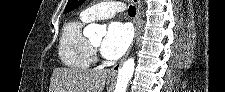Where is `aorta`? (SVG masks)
Returning a JSON list of instances; mask_svg holds the SVG:
<instances>
[{
    "mask_svg": "<svg viewBox=\"0 0 225 92\" xmlns=\"http://www.w3.org/2000/svg\"><path fill=\"white\" fill-rule=\"evenodd\" d=\"M85 32L88 35H93L95 33H104L105 28L98 24H90L86 27ZM134 66V58H129L124 62L118 73L115 92H126L127 85L131 80L134 72Z\"/></svg>",
    "mask_w": 225,
    "mask_h": 92,
    "instance_id": "obj_1",
    "label": "aorta"
}]
</instances>
